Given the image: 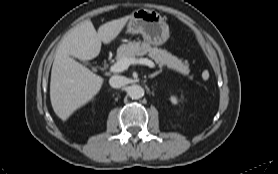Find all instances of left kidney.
I'll use <instances>...</instances> for the list:
<instances>
[{"instance_id":"1","label":"left kidney","mask_w":278,"mask_h":174,"mask_svg":"<svg viewBox=\"0 0 278 174\" xmlns=\"http://www.w3.org/2000/svg\"><path fill=\"white\" fill-rule=\"evenodd\" d=\"M170 100H171V102H172L173 104H177V103H178V99H177L175 96H172V97L170 98Z\"/></svg>"}]
</instances>
